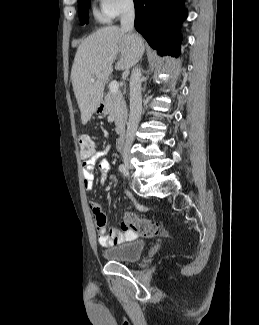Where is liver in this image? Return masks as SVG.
Returning <instances> with one entry per match:
<instances>
[{
    "mask_svg": "<svg viewBox=\"0 0 259 325\" xmlns=\"http://www.w3.org/2000/svg\"><path fill=\"white\" fill-rule=\"evenodd\" d=\"M144 42L137 34H127L117 26L97 30L78 46L71 70L75 97L85 125L103 99L104 87L113 71V62L119 54L116 70H123L125 80L129 70L142 57ZM94 78V82L91 79Z\"/></svg>",
    "mask_w": 259,
    "mask_h": 325,
    "instance_id": "6515ba94",
    "label": "liver"
}]
</instances>
